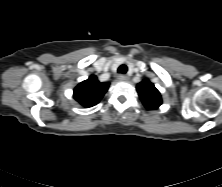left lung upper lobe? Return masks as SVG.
Masks as SVG:
<instances>
[{
  "instance_id": "obj_1",
  "label": "left lung upper lobe",
  "mask_w": 222,
  "mask_h": 187,
  "mask_svg": "<svg viewBox=\"0 0 222 187\" xmlns=\"http://www.w3.org/2000/svg\"><path fill=\"white\" fill-rule=\"evenodd\" d=\"M137 92L144 106L149 109H157L162 104V99L159 91L149 80H143L137 87Z\"/></svg>"
}]
</instances>
